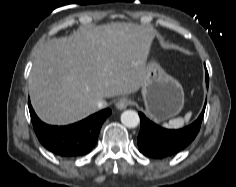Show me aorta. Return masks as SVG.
Wrapping results in <instances>:
<instances>
[{
  "label": "aorta",
  "mask_w": 236,
  "mask_h": 187,
  "mask_svg": "<svg viewBox=\"0 0 236 187\" xmlns=\"http://www.w3.org/2000/svg\"><path fill=\"white\" fill-rule=\"evenodd\" d=\"M121 122L128 128H135L138 126L140 118L136 111L126 110L121 114Z\"/></svg>",
  "instance_id": "762f6f07"
}]
</instances>
